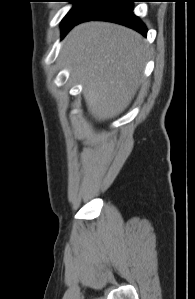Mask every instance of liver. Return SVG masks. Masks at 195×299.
<instances>
[{
	"mask_svg": "<svg viewBox=\"0 0 195 299\" xmlns=\"http://www.w3.org/2000/svg\"><path fill=\"white\" fill-rule=\"evenodd\" d=\"M146 56L141 35L105 22L76 26L61 51L71 75L83 85L89 111L99 121L117 116L129 105L142 81Z\"/></svg>",
	"mask_w": 195,
	"mask_h": 299,
	"instance_id": "obj_1",
	"label": "liver"
}]
</instances>
